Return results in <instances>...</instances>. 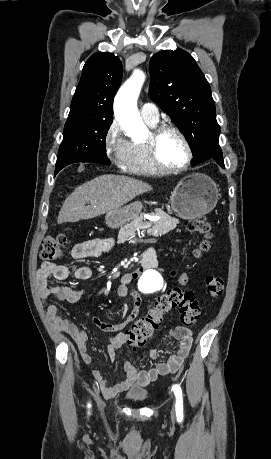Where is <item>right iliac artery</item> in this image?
<instances>
[{
    "label": "right iliac artery",
    "instance_id": "right-iliac-artery-1",
    "mask_svg": "<svg viewBox=\"0 0 271 459\" xmlns=\"http://www.w3.org/2000/svg\"><path fill=\"white\" fill-rule=\"evenodd\" d=\"M88 407L90 408V407H91V405H90V404H88Z\"/></svg>",
    "mask_w": 271,
    "mask_h": 459
}]
</instances>
